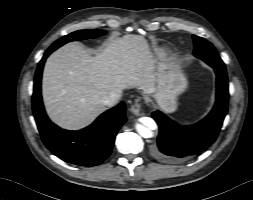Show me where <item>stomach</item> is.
I'll return each instance as SVG.
<instances>
[{
  "label": "stomach",
  "mask_w": 253,
  "mask_h": 200,
  "mask_svg": "<svg viewBox=\"0 0 253 200\" xmlns=\"http://www.w3.org/2000/svg\"><path fill=\"white\" fill-rule=\"evenodd\" d=\"M155 76L157 89L153 96L163 111L172 113L177 109V97L187 88V78L179 65L166 59L158 62Z\"/></svg>",
  "instance_id": "1"
}]
</instances>
